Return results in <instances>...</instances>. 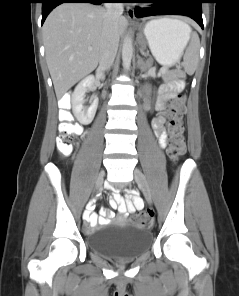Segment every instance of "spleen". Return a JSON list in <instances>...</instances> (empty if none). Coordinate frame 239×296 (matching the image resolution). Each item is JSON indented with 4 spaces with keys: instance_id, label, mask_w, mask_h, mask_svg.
I'll return each mask as SVG.
<instances>
[{
    "instance_id": "3e777b00",
    "label": "spleen",
    "mask_w": 239,
    "mask_h": 296,
    "mask_svg": "<svg viewBox=\"0 0 239 296\" xmlns=\"http://www.w3.org/2000/svg\"><path fill=\"white\" fill-rule=\"evenodd\" d=\"M186 26L188 28V37L190 39L191 29L188 25ZM199 45H200L199 37L196 33H193L191 43L188 47V50L186 52V55L184 57V62H183L185 71L189 75H192L196 69L197 62H198Z\"/></svg>"
}]
</instances>
